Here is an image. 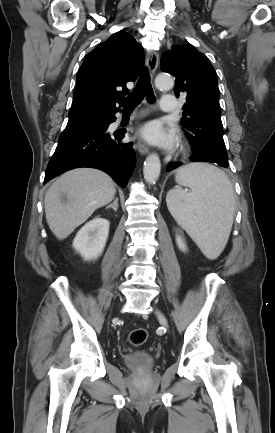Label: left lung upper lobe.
<instances>
[{
	"label": "left lung upper lobe",
	"instance_id": "obj_1",
	"mask_svg": "<svg viewBox=\"0 0 275 433\" xmlns=\"http://www.w3.org/2000/svg\"><path fill=\"white\" fill-rule=\"evenodd\" d=\"M161 68L175 76L176 96L186 95L181 123L194 152L192 160L228 165L217 75L208 58L187 44L164 53Z\"/></svg>",
	"mask_w": 275,
	"mask_h": 433
}]
</instances>
